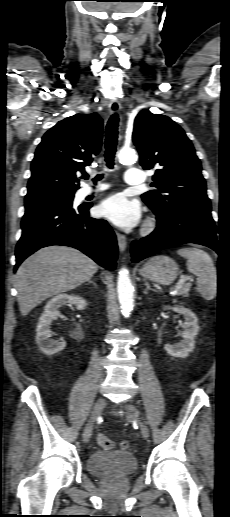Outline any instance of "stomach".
Instances as JSON below:
<instances>
[{
    "instance_id": "0dacf381",
    "label": "stomach",
    "mask_w": 230,
    "mask_h": 517,
    "mask_svg": "<svg viewBox=\"0 0 230 517\" xmlns=\"http://www.w3.org/2000/svg\"><path fill=\"white\" fill-rule=\"evenodd\" d=\"M139 274L159 284L169 285L179 274V267L170 257L156 256L143 265L139 270Z\"/></svg>"
}]
</instances>
